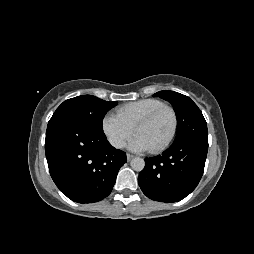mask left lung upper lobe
Masks as SVG:
<instances>
[{
  "label": "left lung upper lobe",
  "mask_w": 254,
  "mask_h": 254,
  "mask_svg": "<svg viewBox=\"0 0 254 254\" xmlns=\"http://www.w3.org/2000/svg\"><path fill=\"white\" fill-rule=\"evenodd\" d=\"M154 96L170 102L176 111L178 129L174 141L193 135H208L204 116L189 97L174 91H160Z\"/></svg>",
  "instance_id": "1"
}]
</instances>
